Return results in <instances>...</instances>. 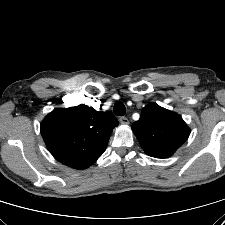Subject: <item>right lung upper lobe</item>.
Masks as SVG:
<instances>
[{
  "label": "right lung upper lobe",
  "instance_id": "cb5924a9",
  "mask_svg": "<svg viewBox=\"0 0 225 225\" xmlns=\"http://www.w3.org/2000/svg\"><path fill=\"white\" fill-rule=\"evenodd\" d=\"M116 126L118 120L111 112L86 105L54 109L40 125L53 157L74 169H85L102 155Z\"/></svg>",
  "mask_w": 225,
  "mask_h": 225
}]
</instances>
